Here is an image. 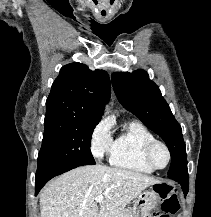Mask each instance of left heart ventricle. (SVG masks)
Instances as JSON below:
<instances>
[{
  "label": "left heart ventricle",
  "instance_id": "left-heart-ventricle-1",
  "mask_svg": "<svg viewBox=\"0 0 211 217\" xmlns=\"http://www.w3.org/2000/svg\"><path fill=\"white\" fill-rule=\"evenodd\" d=\"M153 160L156 165L163 167L167 162V153L163 147L157 146L153 151Z\"/></svg>",
  "mask_w": 211,
  "mask_h": 217
}]
</instances>
